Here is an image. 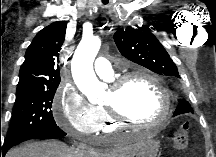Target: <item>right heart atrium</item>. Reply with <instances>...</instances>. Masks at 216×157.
I'll return each instance as SVG.
<instances>
[{"instance_id":"right-heart-atrium-1","label":"right heart atrium","mask_w":216,"mask_h":157,"mask_svg":"<svg viewBox=\"0 0 216 157\" xmlns=\"http://www.w3.org/2000/svg\"><path fill=\"white\" fill-rule=\"evenodd\" d=\"M53 116L62 129L75 136L95 134L101 122L98 107L88 102L72 85H63L57 90Z\"/></svg>"}]
</instances>
